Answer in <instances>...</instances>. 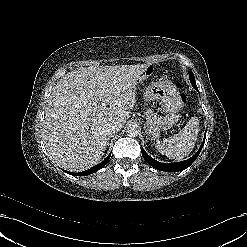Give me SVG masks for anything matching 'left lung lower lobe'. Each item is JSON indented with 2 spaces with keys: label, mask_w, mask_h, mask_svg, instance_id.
I'll use <instances>...</instances> for the list:
<instances>
[{
  "label": "left lung lower lobe",
  "mask_w": 247,
  "mask_h": 247,
  "mask_svg": "<svg viewBox=\"0 0 247 247\" xmlns=\"http://www.w3.org/2000/svg\"><path fill=\"white\" fill-rule=\"evenodd\" d=\"M192 83V86L194 87V89H196L198 91V88L196 86V82L195 81H191ZM206 137V135H205ZM205 143V139L203 141V143L201 144L199 150L197 151V153L192 156L191 158L185 160V161H182V162H176V163H161V162H158L156 160H154L152 157H150L146 152L145 150L142 148L141 151H142V156L143 158L145 159V161L150 164L153 168L157 169V170H160V171H166V172H178V171H182L186 168H188L195 160L196 158L198 157L199 153L201 152L202 150V147Z\"/></svg>",
  "instance_id": "0a47b994"
}]
</instances>
